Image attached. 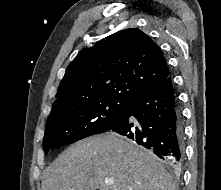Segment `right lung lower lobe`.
I'll return each mask as SVG.
<instances>
[{"mask_svg": "<svg viewBox=\"0 0 221 190\" xmlns=\"http://www.w3.org/2000/svg\"><path fill=\"white\" fill-rule=\"evenodd\" d=\"M152 151L174 168L184 156V131L171 77L127 101L121 120L110 130Z\"/></svg>", "mask_w": 221, "mask_h": 190, "instance_id": "1", "label": "right lung lower lobe"}]
</instances>
